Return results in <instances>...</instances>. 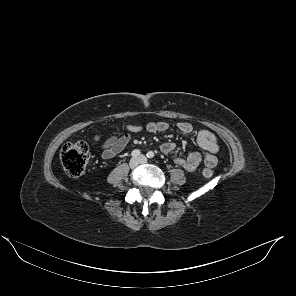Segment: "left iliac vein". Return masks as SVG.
Returning a JSON list of instances; mask_svg holds the SVG:
<instances>
[{"label": "left iliac vein", "mask_w": 296, "mask_h": 296, "mask_svg": "<svg viewBox=\"0 0 296 296\" xmlns=\"http://www.w3.org/2000/svg\"><path fill=\"white\" fill-rule=\"evenodd\" d=\"M139 160H140V163H146V161H147V159H146V157L144 155H141L139 157Z\"/></svg>", "instance_id": "1"}]
</instances>
